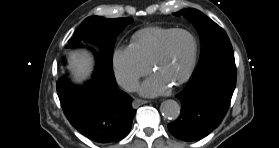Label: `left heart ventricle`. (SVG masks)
I'll return each instance as SVG.
<instances>
[{
	"mask_svg": "<svg viewBox=\"0 0 279 148\" xmlns=\"http://www.w3.org/2000/svg\"><path fill=\"white\" fill-rule=\"evenodd\" d=\"M193 48L191 37L185 33L174 35L167 46L165 57L157 64L154 74L174 83L187 67Z\"/></svg>",
	"mask_w": 279,
	"mask_h": 148,
	"instance_id": "left-heart-ventricle-1",
	"label": "left heart ventricle"
}]
</instances>
